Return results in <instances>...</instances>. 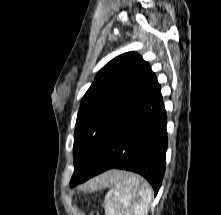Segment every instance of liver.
<instances>
[{
	"label": "liver",
	"mask_w": 221,
	"mask_h": 215,
	"mask_svg": "<svg viewBox=\"0 0 221 215\" xmlns=\"http://www.w3.org/2000/svg\"><path fill=\"white\" fill-rule=\"evenodd\" d=\"M113 172H107L91 181H89L85 186L89 188H97L101 186H106L112 180Z\"/></svg>",
	"instance_id": "liver-1"
}]
</instances>
